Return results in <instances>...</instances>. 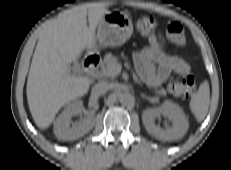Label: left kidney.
<instances>
[{
  "label": "left kidney",
  "instance_id": "5707ae66",
  "mask_svg": "<svg viewBox=\"0 0 231 170\" xmlns=\"http://www.w3.org/2000/svg\"><path fill=\"white\" fill-rule=\"evenodd\" d=\"M161 115L172 121V126L166 130L156 126L155 119ZM142 121L148 133L163 141H172L182 138L188 130V119L183 110L171 101H165L160 107L149 108L143 111Z\"/></svg>",
  "mask_w": 231,
  "mask_h": 170
}]
</instances>
